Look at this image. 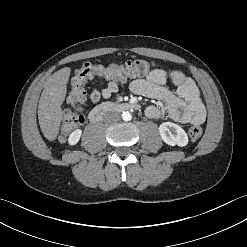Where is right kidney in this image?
Listing matches in <instances>:
<instances>
[{
  "label": "right kidney",
  "mask_w": 247,
  "mask_h": 247,
  "mask_svg": "<svg viewBox=\"0 0 247 247\" xmlns=\"http://www.w3.org/2000/svg\"><path fill=\"white\" fill-rule=\"evenodd\" d=\"M81 134H82V130L81 129H77L75 131H73L69 138H68V143L70 145H75L78 143V141L80 140V137H81Z\"/></svg>",
  "instance_id": "ca27d5eb"
}]
</instances>
